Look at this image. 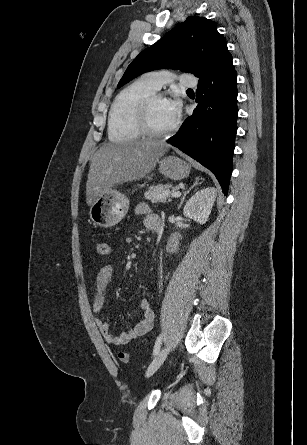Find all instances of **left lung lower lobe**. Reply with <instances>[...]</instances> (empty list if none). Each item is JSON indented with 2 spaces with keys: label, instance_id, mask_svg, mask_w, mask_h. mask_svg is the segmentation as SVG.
Returning a JSON list of instances; mask_svg holds the SVG:
<instances>
[{
  "label": "left lung lower lobe",
  "instance_id": "left-lung-lower-lobe-1",
  "mask_svg": "<svg viewBox=\"0 0 307 445\" xmlns=\"http://www.w3.org/2000/svg\"><path fill=\"white\" fill-rule=\"evenodd\" d=\"M232 56L199 78L198 106L169 142L211 170L227 195L237 132V83Z\"/></svg>",
  "mask_w": 307,
  "mask_h": 445
}]
</instances>
